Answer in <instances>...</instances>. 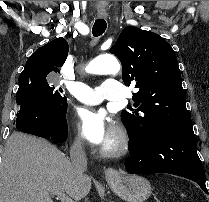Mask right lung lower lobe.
Listing matches in <instances>:
<instances>
[{
	"instance_id": "obj_1",
	"label": "right lung lower lobe",
	"mask_w": 209,
	"mask_h": 202,
	"mask_svg": "<svg viewBox=\"0 0 209 202\" xmlns=\"http://www.w3.org/2000/svg\"><path fill=\"white\" fill-rule=\"evenodd\" d=\"M20 109L14 124L19 131L39 137H51L56 143L64 142L68 135L65 115H59L36 106L27 93L17 91Z\"/></svg>"
}]
</instances>
